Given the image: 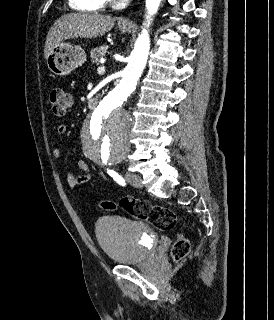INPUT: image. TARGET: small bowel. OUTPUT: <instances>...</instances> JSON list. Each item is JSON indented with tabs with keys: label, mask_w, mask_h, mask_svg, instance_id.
I'll list each match as a JSON object with an SVG mask.
<instances>
[{
	"label": "small bowel",
	"mask_w": 274,
	"mask_h": 320,
	"mask_svg": "<svg viewBox=\"0 0 274 320\" xmlns=\"http://www.w3.org/2000/svg\"><path fill=\"white\" fill-rule=\"evenodd\" d=\"M67 131L65 124H60L57 127L56 134L58 138H61ZM53 156L55 159L62 157V149L60 145H57L53 150ZM78 167L82 171L80 175H74L71 172L66 173V182L70 189H76L78 186L87 183L91 179V173L88 164L83 160H78Z\"/></svg>",
	"instance_id": "small-bowel-1"
}]
</instances>
